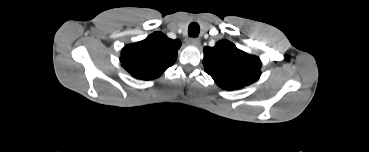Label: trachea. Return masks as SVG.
<instances>
[{"instance_id": "obj_1", "label": "trachea", "mask_w": 369, "mask_h": 152, "mask_svg": "<svg viewBox=\"0 0 369 152\" xmlns=\"http://www.w3.org/2000/svg\"><path fill=\"white\" fill-rule=\"evenodd\" d=\"M199 33H200V27H199V25L197 23H195V22L191 23L189 25V27H188V35L190 37H194L195 38V37H198Z\"/></svg>"}]
</instances>
